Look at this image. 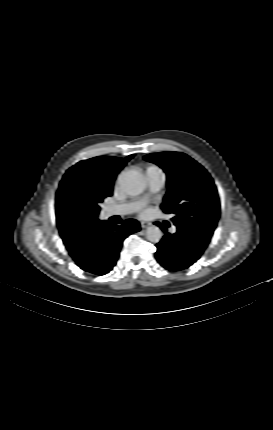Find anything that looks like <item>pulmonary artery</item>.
<instances>
[{
	"label": "pulmonary artery",
	"instance_id": "obj_1",
	"mask_svg": "<svg viewBox=\"0 0 273 430\" xmlns=\"http://www.w3.org/2000/svg\"><path fill=\"white\" fill-rule=\"evenodd\" d=\"M146 179L148 184V189L150 194L157 193L164 185L165 176L161 169L157 167L148 168L146 171ZM148 195L135 203H122L113 206H108L105 208V215L107 217L117 216V215H126L137 210L141 205L145 203ZM177 228L175 226L172 227L171 231L175 233Z\"/></svg>",
	"mask_w": 273,
	"mask_h": 430
}]
</instances>
